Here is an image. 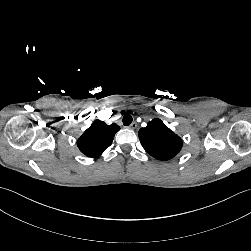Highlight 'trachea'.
<instances>
[{"label": "trachea", "instance_id": "obj_1", "mask_svg": "<svg viewBox=\"0 0 251 251\" xmlns=\"http://www.w3.org/2000/svg\"><path fill=\"white\" fill-rule=\"evenodd\" d=\"M132 121H133V118H132V116L130 114H125L124 115V117H123V124L125 126L130 125L132 123Z\"/></svg>", "mask_w": 251, "mask_h": 251}]
</instances>
